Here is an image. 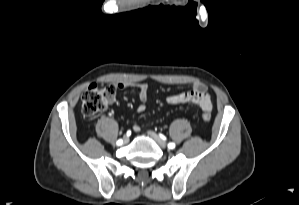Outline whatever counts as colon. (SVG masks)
Listing matches in <instances>:
<instances>
[{"mask_svg": "<svg viewBox=\"0 0 299 205\" xmlns=\"http://www.w3.org/2000/svg\"><path fill=\"white\" fill-rule=\"evenodd\" d=\"M117 87L112 84L90 85L82 95L81 110L84 116L93 117L97 113L105 110L115 99ZM204 121L211 120V114L204 112L202 115Z\"/></svg>", "mask_w": 299, "mask_h": 205, "instance_id": "5ec220e1", "label": "colon"}]
</instances>
